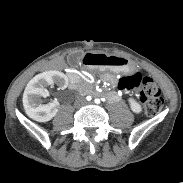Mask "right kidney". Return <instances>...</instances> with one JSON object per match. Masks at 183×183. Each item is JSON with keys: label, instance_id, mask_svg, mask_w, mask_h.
Returning a JSON list of instances; mask_svg holds the SVG:
<instances>
[{"label": "right kidney", "instance_id": "1", "mask_svg": "<svg viewBox=\"0 0 183 183\" xmlns=\"http://www.w3.org/2000/svg\"><path fill=\"white\" fill-rule=\"evenodd\" d=\"M57 84L60 89H65L68 85L66 75L59 71H47L36 75L27 84L23 94V106L26 114L38 122L50 121L58 112L59 103L57 101L43 104L42 97H47L46 88Z\"/></svg>", "mask_w": 183, "mask_h": 183}]
</instances>
